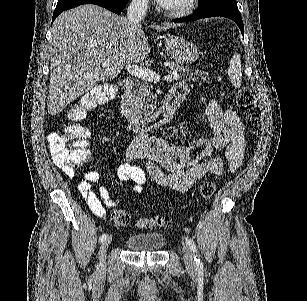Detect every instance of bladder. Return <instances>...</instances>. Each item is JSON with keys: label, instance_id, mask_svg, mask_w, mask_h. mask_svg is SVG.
Here are the masks:
<instances>
[{"label": "bladder", "instance_id": "obj_1", "mask_svg": "<svg viewBox=\"0 0 307 301\" xmlns=\"http://www.w3.org/2000/svg\"><path fill=\"white\" fill-rule=\"evenodd\" d=\"M164 243L163 234L144 233L129 236L126 240V247L129 251H160Z\"/></svg>", "mask_w": 307, "mask_h": 301}]
</instances>
